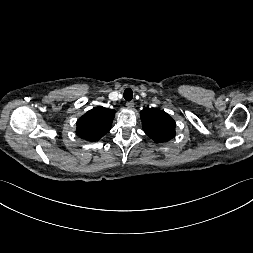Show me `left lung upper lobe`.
Listing matches in <instances>:
<instances>
[{
	"instance_id": "obj_1",
	"label": "left lung upper lobe",
	"mask_w": 253,
	"mask_h": 253,
	"mask_svg": "<svg viewBox=\"0 0 253 253\" xmlns=\"http://www.w3.org/2000/svg\"><path fill=\"white\" fill-rule=\"evenodd\" d=\"M144 132L155 142L161 143L175 136L176 123L166 112L147 108L140 112Z\"/></svg>"
}]
</instances>
